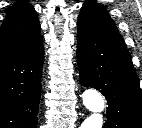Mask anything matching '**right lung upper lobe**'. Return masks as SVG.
<instances>
[{
    "mask_svg": "<svg viewBox=\"0 0 142 128\" xmlns=\"http://www.w3.org/2000/svg\"><path fill=\"white\" fill-rule=\"evenodd\" d=\"M41 41L35 9L28 2H15L0 28V66L32 51Z\"/></svg>",
    "mask_w": 142,
    "mask_h": 128,
    "instance_id": "1",
    "label": "right lung upper lobe"
}]
</instances>
